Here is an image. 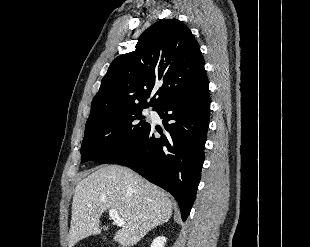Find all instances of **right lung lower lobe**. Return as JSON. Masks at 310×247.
<instances>
[{
  "label": "right lung lower lobe",
  "mask_w": 310,
  "mask_h": 247,
  "mask_svg": "<svg viewBox=\"0 0 310 247\" xmlns=\"http://www.w3.org/2000/svg\"><path fill=\"white\" fill-rule=\"evenodd\" d=\"M208 80L197 88L172 97L156 109L166 132L155 137L149 126L136 143L108 164L130 167L160 186L178 201L182 220L190 213L204 162L209 125Z\"/></svg>",
  "instance_id": "obj_1"
}]
</instances>
